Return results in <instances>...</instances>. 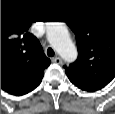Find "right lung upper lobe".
<instances>
[{"mask_svg": "<svg viewBox=\"0 0 115 114\" xmlns=\"http://www.w3.org/2000/svg\"><path fill=\"white\" fill-rule=\"evenodd\" d=\"M23 19H1V88L13 95H24L41 82L50 65L38 39L27 30Z\"/></svg>", "mask_w": 115, "mask_h": 114, "instance_id": "right-lung-upper-lobe-1", "label": "right lung upper lobe"}]
</instances>
